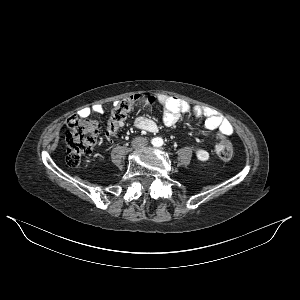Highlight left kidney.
Masks as SVG:
<instances>
[{
  "label": "left kidney",
  "mask_w": 300,
  "mask_h": 300,
  "mask_svg": "<svg viewBox=\"0 0 300 300\" xmlns=\"http://www.w3.org/2000/svg\"><path fill=\"white\" fill-rule=\"evenodd\" d=\"M196 156L200 161H207L209 159V153L206 150L198 149Z\"/></svg>",
  "instance_id": "left-kidney-1"
}]
</instances>
